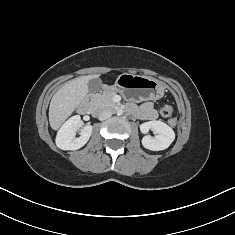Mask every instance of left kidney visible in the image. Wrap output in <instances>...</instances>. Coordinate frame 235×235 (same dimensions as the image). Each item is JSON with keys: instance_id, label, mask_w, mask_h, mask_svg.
Returning <instances> with one entry per match:
<instances>
[{"instance_id": "left-kidney-1", "label": "left kidney", "mask_w": 235, "mask_h": 235, "mask_svg": "<svg viewBox=\"0 0 235 235\" xmlns=\"http://www.w3.org/2000/svg\"><path fill=\"white\" fill-rule=\"evenodd\" d=\"M142 133L146 134L149 130L155 131V137L145 135L142 138V145L152 151L167 149L175 139V133L171 127L162 121H149L140 125Z\"/></svg>"}]
</instances>
